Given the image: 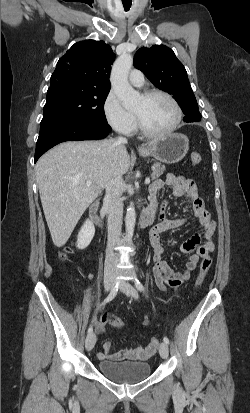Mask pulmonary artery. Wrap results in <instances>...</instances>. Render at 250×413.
Wrapping results in <instances>:
<instances>
[{"mask_svg":"<svg viewBox=\"0 0 250 413\" xmlns=\"http://www.w3.org/2000/svg\"><path fill=\"white\" fill-rule=\"evenodd\" d=\"M129 82L136 87L142 86L144 84L143 73L138 69H133L129 74Z\"/></svg>","mask_w":250,"mask_h":413,"instance_id":"obj_1","label":"pulmonary artery"}]
</instances>
